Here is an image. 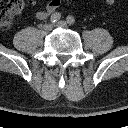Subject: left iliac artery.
<instances>
[{
	"label": "left iliac artery",
	"mask_w": 128,
	"mask_h": 128,
	"mask_svg": "<svg viewBox=\"0 0 128 128\" xmlns=\"http://www.w3.org/2000/svg\"><path fill=\"white\" fill-rule=\"evenodd\" d=\"M66 20H67V23L70 24V25H73L75 23V19H74L73 16H68L66 18Z\"/></svg>",
	"instance_id": "obj_1"
}]
</instances>
